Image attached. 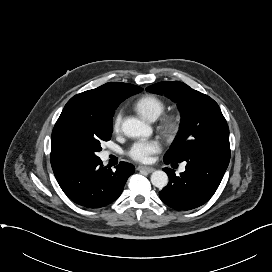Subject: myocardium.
<instances>
[{
    "label": "myocardium",
    "mask_w": 272,
    "mask_h": 272,
    "mask_svg": "<svg viewBox=\"0 0 272 272\" xmlns=\"http://www.w3.org/2000/svg\"><path fill=\"white\" fill-rule=\"evenodd\" d=\"M162 132L167 136H173L179 129L178 119L174 115H165L160 122Z\"/></svg>",
    "instance_id": "1"
}]
</instances>
